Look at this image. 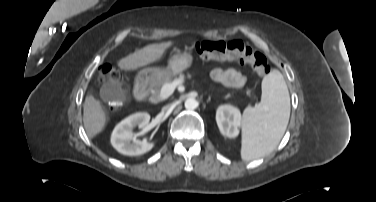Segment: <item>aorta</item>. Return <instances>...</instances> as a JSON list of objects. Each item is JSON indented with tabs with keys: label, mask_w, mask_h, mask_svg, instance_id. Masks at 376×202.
<instances>
[{
	"label": "aorta",
	"mask_w": 376,
	"mask_h": 202,
	"mask_svg": "<svg viewBox=\"0 0 376 202\" xmlns=\"http://www.w3.org/2000/svg\"><path fill=\"white\" fill-rule=\"evenodd\" d=\"M198 107V102L195 98H188L185 101V108L188 110H193Z\"/></svg>",
	"instance_id": "aorta-1"
}]
</instances>
